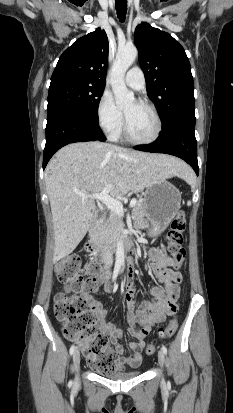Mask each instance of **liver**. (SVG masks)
<instances>
[{
    "label": "liver",
    "instance_id": "liver-1",
    "mask_svg": "<svg viewBox=\"0 0 233 413\" xmlns=\"http://www.w3.org/2000/svg\"><path fill=\"white\" fill-rule=\"evenodd\" d=\"M190 171L181 160L138 152L102 142H78L60 149L46 167V189L54 226L53 262L72 253L86 235L95 210L84 194L106 186L112 197L139 192L161 179L184 177Z\"/></svg>",
    "mask_w": 233,
    "mask_h": 413
}]
</instances>
